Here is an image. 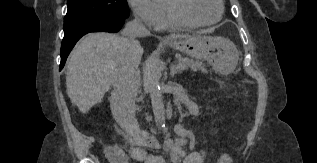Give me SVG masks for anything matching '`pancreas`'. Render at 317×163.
Listing matches in <instances>:
<instances>
[{"mask_svg": "<svg viewBox=\"0 0 317 163\" xmlns=\"http://www.w3.org/2000/svg\"><path fill=\"white\" fill-rule=\"evenodd\" d=\"M178 64L182 65L184 69L191 68L193 71H201L202 73H207L205 64L201 61H194L193 59L183 58L180 55L176 56Z\"/></svg>", "mask_w": 317, "mask_h": 163, "instance_id": "1", "label": "pancreas"}]
</instances>
